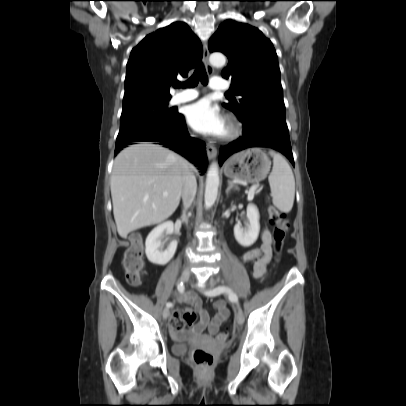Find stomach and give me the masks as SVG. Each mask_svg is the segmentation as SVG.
I'll list each match as a JSON object with an SVG mask.
<instances>
[{"instance_id":"0dacf381","label":"stomach","mask_w":406,"mask_h":406,"mask_svg":"<svg viewBox=\"0 0 406 406\" xmlns=\"http://www.w3.org/2000/svg\"><path fill=\"white\" fill-rule=\"evenodd\" d=\"M271 161L260 148H249L231 156L224 165V174L231 179L256 183L266 178Z\"/></svg>"}]
</instances>
